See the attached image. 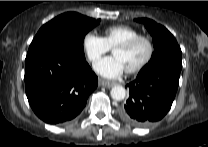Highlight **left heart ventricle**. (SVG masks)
Returning <instances> with one entry per match:
<instances>
[{"mask_svg":"<svg viewBox=\"0 0 208 147\" xmlns=\"http://www.w3.org/2000/svg\"><path fill=\"white\" fill-rule=\"evenodd\" d=\"M148 54V45L144 41L138 42L130 49H114L113 55L121 59L126 70L137 66Z\"/></svg>","mask_w":208,"mask_h":147,"instance_id":"1","label":"left heart ventricle"}]
</instances>
